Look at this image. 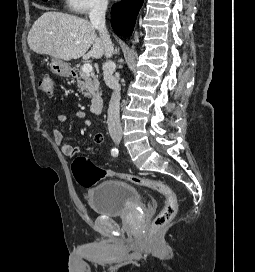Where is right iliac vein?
I'll use <instances>...</instances> for the list:
<instances>
[{
	"mask_svg": "<svg viewBox=\"0 0 255 272\" xmlns=\"http://www.w3.org/2000/svg\"><path fill=\"white\" fill-rule=\"evenodd\" d=\"M113 140H114L115 142H119V141L121 140V136L115 135V136L113 137Z\"/></svg>",
	"mask_w": 255,
	"mask_h": 272,
	"instance_id": "obj_1",
	"label": "right iliac vein"
}]
</instances>
